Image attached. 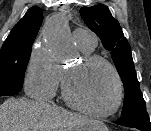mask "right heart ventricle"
Instances as JSON below:
<instances>
[{"label": "right heart ventricle", "mask_w": 151, "mask_h": 131, "mask_svg": "<svg viewBox=\"0 0 151 131\" xmlns=\"http://www.w3.org/2000/svg\"><path fill=\"white\" fill-rule=\"evenodd\" d=\"M79 48H80L81 52L85 55H90L93 51V49H87V48H84L82 46H79Z\"/></svg>", "instance_id": "1"}]
</instances>
